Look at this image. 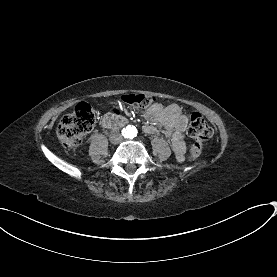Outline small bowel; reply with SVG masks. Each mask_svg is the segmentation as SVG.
<instances>
[{"label": "small bowel", "instance_id": "c3829d8e", "mask_svg": "<svg viewBox=\"0 0 277 277\" xmlns=\"http://www.w3.org/2000/svg\"><path fill=\"white\" fill-rule=\"evenodd\" d=\"M144 116L151 122L143 127L144 132L148 135H155L158 133L155 124L161 125L171 142L177 160L182 161L186 150L185 132L188 119L180 107L177 104L154 103L145 110Z\"/></svg>", "mask_w": 277, "mask_h": 277}]
</instances>
